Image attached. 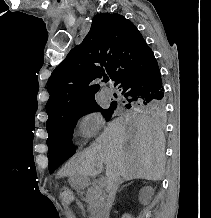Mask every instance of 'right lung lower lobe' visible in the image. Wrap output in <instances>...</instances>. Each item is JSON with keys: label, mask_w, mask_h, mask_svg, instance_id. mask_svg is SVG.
I'll return each instance as SVG.
<instances>
[{"label": "right lung lower lobe", "mask_w": 211, "mask_h": 218, "mask_svg": "<svg viewBox=\"0 0 211 218\" xmlns=\"http://www.w3.org/2000/svg\"><path fill=\"white\" fill-rule=\"evenodd\" d=\"M124 97L164 99V88L152 50L145 52L129 65L114 81Z\"/></svg>", "instance_id": "right-lung-lower-lobe-1"}]
</instances>
